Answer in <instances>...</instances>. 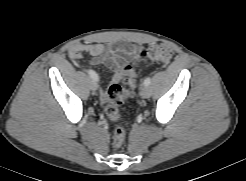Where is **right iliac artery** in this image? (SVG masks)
I'll return each instance as SVG.
<instances>
[{"label": "right iliac artery", "instance_id": "right-iliac-artery-1", "mask_svg": "<svg viewBox=\"0 0 246 181\" xmlns=\"http://www.w3.org/2000/svg\"><path fill=\"white\" fill-rule=\"evenodd\" d=\"M88 74H89V76H90L93 80H95V81H98V80H99V77H98V75H97V73H96L95 71H93V70H88Z\"/></svg>", "mask_w": 246, "mask_h": 181}]
</instances>
